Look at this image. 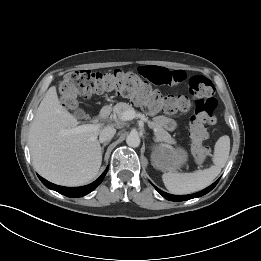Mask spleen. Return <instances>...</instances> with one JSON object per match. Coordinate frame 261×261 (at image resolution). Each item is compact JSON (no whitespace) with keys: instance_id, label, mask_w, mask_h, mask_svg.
Listing matches in <instances>:
<instances>
[{"instance_id":"obj_1","label":"spleen","mask_w":261,"mask_h":261,"mask_svg":"<svg viewBox=\"0 0 261 261\" xmlns=\"http://www.w3.org/2000/svg\"><path fill=\"white\" fill-rule=\"evenodd\" d=\"M230 152V138L220 137L214 147L213 163L208 169L192 173L168 172L162 175L167 190L172 194L182 195L200 191L209 186L225 166Z\"/></svg>"}]
</instances>
